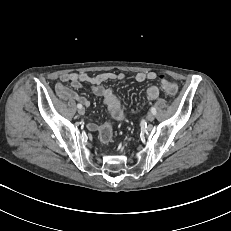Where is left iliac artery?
Instances as JSON below:
<instances>
[{
    "instance_id": "44dca946",
    "label": "left iliac artery",
    "mask_w": 231,
    "mask_h": 231,
    "mask_svg": "<svg viewBox=\"0 0 231 231\" xmlns=\"http://www.w3.org/2000/svg\"><path fill=\"white\" fill-rule=\"evenodd\" d=\"M151 113L154 115L156 114V108L155 107H151Z\"/></svg>"
}]
</instances>
